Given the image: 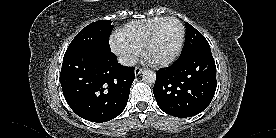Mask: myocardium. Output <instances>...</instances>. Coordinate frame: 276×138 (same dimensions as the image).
I'll return each mask as SVG.
<instances>
[{
    "instance_id": "1",
    "label": "myocardium",
    "mask_w": 276,
    "mask_h": 138,
    "mask_svg": "<svg viewBox=\"0 0 276 138\" xmlns=\"http://www.w3.org/2000/svg\"><path fill=\"white\" fill-rule=\"evenodd\" d=\"M167 21H175L180 26L181 36H180L179 43H178L177 48L175 49L174 53L170 57H168L167 59L160 60V61H151V60H149V58L147 56L148 51L152 47V45H153V43H154V41L156 39L158 31L160 30V28L162 27V25L164 23H166ZM185 36H186L185 27H184V25L182 24V22L178 18H176V17H165L151 31V33H150L147 41L145 42V44H144V46L142 48V55L154 67H165V66H168L171 63H173L176 60V58L179 56V54H180V52H181V50H182V48L184 46Z\"/></svg>"
}]
</instances>
